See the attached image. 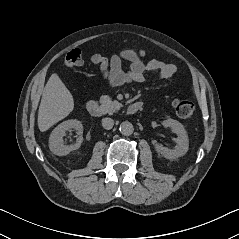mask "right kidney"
<instances>
[{"mask_svg":"<svg viewBox=\"0 0 239 239\" xmlns=\"http://www.w3.org/2000/svg\"><path fill=\"white\" fill-rule=\"evenodd\" d=\"M71 129H75L79 137L77 138V142L75 144L65 145L63 143V136L66 131H69ZM82 133L83 126L80 121L76 119L64 121L52 131L49 137V148L54 154L58 156L67 155L71 151L76 150L80 147L83 141V138L81 136Z\"/></svg>","mask_w":239,"mask_h":239,"instance_id":"ca27d5eb","label":"right kidney"}]
</instances>
